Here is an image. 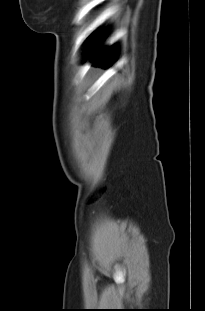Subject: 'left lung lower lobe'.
<instances>
[{
	"instance_id": "0a47b994",
	"label": "left lung lower lobe",
	"mask_w": 205,
	"mask_h": 311,
	"mask_svg": "<svg viewBox=\"0 0 205 311\" xmlns=\"http://www.w3.org/2000/svg\"><path fill=\"white\" fill-rule=\"evenodd\" d=\"M100 46V42L94 40L88 47V53L92 54L97 50V48ZM116 51L114 47H109L107 49L98 50L96 52V56L93 59V65L99 66L103 68L109 67L113 60L115 59Z\"/></svg>"
}]
</instances>
